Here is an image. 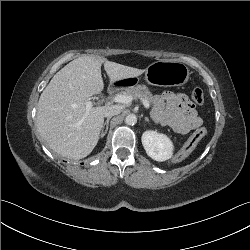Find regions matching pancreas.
<instances>
[{
	"instance_id": "obj_1",
	"label": "pancreas",
	"mask_w": 250,
	"mask_h": 250,
	"mask_svg": "<svg viewBox=\"0 0 250 250\" xmlns=\"http://www.w3.org/2000/svg\"><path fill=\"white\" fill-rule=\"evenodd\" d=\"M121 94L131 95L133 99L145 98L149 102H152L154 99V96L149 91L146 85H137V86L125 88L123 91H121Z\"/></svg>"
}]
</instances>
